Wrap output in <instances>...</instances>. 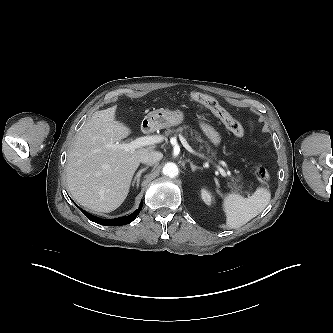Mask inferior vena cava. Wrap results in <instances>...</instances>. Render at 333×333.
<instances>
[{
    "mask_svg": "<svg viewBox=\"0 0 333 333\" xmlns=\"http://www.w3.org/2000/svg\"><path fill=\"white\" fill-rule=\"evenodd\" d=\"M163 158V154L157 151H151L141 157V162L147 165H154Z\"/></svg>",
    "mask_w": 333,
    "mask_h": 333,
    "instance_id": "1",
    "label": "inferior vena cava"
}]
</instances>
